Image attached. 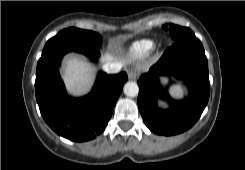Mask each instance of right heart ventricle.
<instances>
[{
  "mask_svg": "<svg viewBox=\"0 0 245 170\" xmlns=\"http://www.w3.org/2000/svg\"><path fill=\"white\" fill-rule=\"evenodd\" d=\"M155 48V43L150 39H142L134 42L129 48L128 53L132 56L142 57L149 55Z\"/></svg>",
  "mask_w": 245,
  "mask_h": 170,
  "instance_id": "e07e8e85",
  "label": "right heart ventricle"
}]
</instances>
